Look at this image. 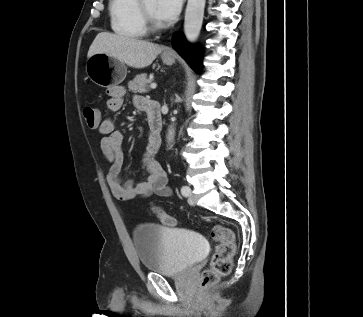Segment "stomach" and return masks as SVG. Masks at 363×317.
Listing matches in <instances>:
<instances>
[{"label":"stomach","instance_id":"0dacf381","mask_svg":"<svg viewBox=\"0 0 363 317\" xmlns=\"http://www.w3.org/2000/svg\"><path fill=\"white\" fill-rule=\"evenodd\" d=\"M162 61L170 66L175 62V59L162 55ZM86 73L96 85L111 87L120 84L125 79L127 68L120 60L104 53H97L88 58Z\"/></svg>","mask_w":363,"mask_h":317}]
</instances>
